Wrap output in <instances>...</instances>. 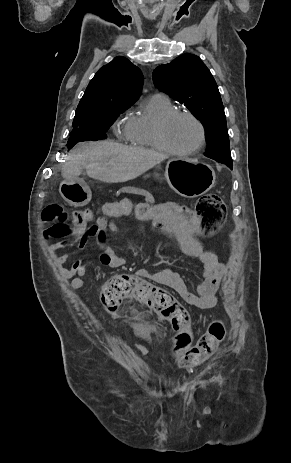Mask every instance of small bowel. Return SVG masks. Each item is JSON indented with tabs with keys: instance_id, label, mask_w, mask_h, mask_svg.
Masks as SVG:
<instances>
[{
	"instance_id": "c3829d8e",
	"label": "small bowel",
	"mask_w": 291,
	"mask_h": 463,
	"mask_svg": "<svg viewBox=\"0 0 291 463\" xmlns=\"http://www.w3.org/2000/svg\"><path fill=\"white\" fill-rule=\"evenodd\" d=\"M120 209V216L121 210ZM109 216V212H108ZM110 217V216H109ZM108 219L107 216H101L96 220L94 226L87 231L82 232L76 238V249L82 250L85 246L86 239L93 237L98 243L100 251V262L110 268H122L126 261L118 256L105 243V236L108 230L117 231L118 227L114 218ZM142 222H147L146 219L140 217ZM155 226V224H154ZM156 228L168 233L178 244L183 254L196 257L200 261L202 268V276L200 282L194 289H190L185 280L175 273L169 266L163 270L152 272L148 269H139L135 272L138 277L146 278L154 283L163 285L175 291L186 303L199 309H210L217 305V290L223 278L226 276L227 267L222 262L218 261L216 255L212 252L205 251L196 238V232L189 230H181L178 226H155ZM61 242L51 245V251H59L66 248ZM55 262L59 265L71 263L69 268H61V276L70 280L69 288L72 292L88 285L87 268L85 262L80 258H75L72 255L64 254L57 256Z\"/></svg>"
}]
</instances>
